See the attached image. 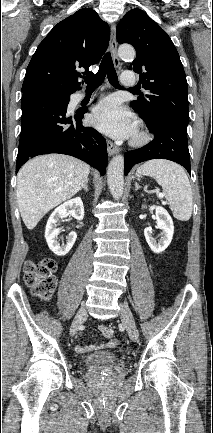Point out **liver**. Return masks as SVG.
Returning a JSON list of instances; mask_svg holds the SVG:
<instances>
[{
    "mask_svg": "<svg viewBox=\"0 0 213 433\" xmlns=\"http://www.w3.org/2000/svg\"><path fill=\"white\" fill-rule=\"evenodd\" d=\"M85 162L63 154L41 155L25 163L17 175V201L29 230L54 207L73 197L88 179Z\"/></svg>",
    "mask_w": 213,
    "mask_h": 433,
    "instance_id": "liver-1",
    "label": "liver"
}]
</instances>
